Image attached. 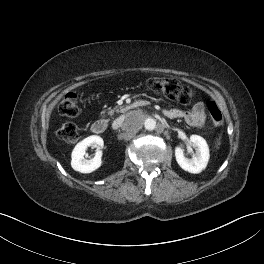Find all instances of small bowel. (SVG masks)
Here are the masks:
<instances>
[{
    "mask_svg": "<svg viewBox=\"0 0 264 264\" xmlns=\"http://www.w3.org/2000/svg\"><path fill=\"white\" fill-rule=\"evenodd\" d=\"M165 115L170 118H182L188 125L195 127L202 126L206 120L203 102L195 103L191 110H165Z\"/></svg>",
    "mask_w": 264,
    "mask_h": 264,
    "instance_id": "obj_1",
    "label": "small bowel"
}]
</instances>
